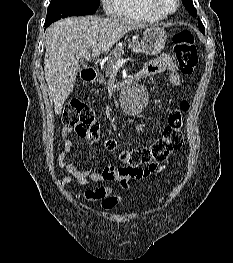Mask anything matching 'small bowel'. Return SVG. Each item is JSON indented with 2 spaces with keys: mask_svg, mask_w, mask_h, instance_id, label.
<instances>
[{
  "mask_svg": "<svg viewBox=\"0 0 233 263\" xmlns=\"http://www.w3.org/2000/svg\"><path fill=\"white\" fill-rule=\"evenodd\" d=\"M141 72L145 77L166 73L167 80L170 84L173 86H179L181 84V77L175 70L173 60L168 54H162L155 60L148 62L144 65ZM71 133L72 129L67 127H64L61 132L63 144L59 153L58 164L69 173V176L64 178L61 183H69L71 176L75 177L82 186H89L97 183L119 182V187L107 185L85 191L84 198L87 201H99L101 208L104 210H112L119 204L122 198L121 189L127 188V182L130 179L146 177L155 170V168H146L142 170L140 176L134 177L125 175L120 172L119 167L106 163H101L99 167L89 166L78 168L70 159L73 141L68 139L67 136Z\"/></svg>",
  "mask_w": 233,
  "mask_h": 263,
  "instance_id": "c3829d8e",
  "label": "small bowel"
}]
</instances>
